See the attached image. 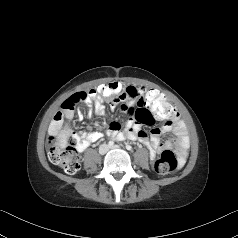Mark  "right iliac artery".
Masks as SVG:
<instances>
[{
	"label": "right iliac artery",
	"instance_id": "1",
	"mask_svg": "<svg viewBox=\"0 0 238 238\" xmlns=\"http://www.w3.org/2000/svg\"><path fill=\"white\" fill-rule=\"evenodd\" d=\"M114 145V142L113 141H109L108 142V146L112 147Z\"/></svg>",
	"mask_w": 238,
	"mask_h": 238
}]
</instances>
